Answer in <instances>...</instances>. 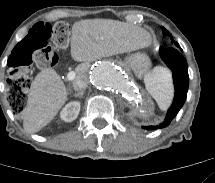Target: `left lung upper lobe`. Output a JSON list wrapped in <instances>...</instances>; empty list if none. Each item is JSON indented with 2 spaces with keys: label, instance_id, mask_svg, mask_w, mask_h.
Masks as SVG:
<instances>
[{
  "label": "left lung upper lobe",
  "instance_id": "5c2ea615",
  "mask_svg": "<svg viewBox=\"0 0 215 183\" xmlns=\"http://www.w3.org/2000/svg\"><path fill=\"white\" fill-rule=\"evenodd\" d=\"M162 32L164 35H167V36H171V34L164 28L162 27ZM172 42L177 46V47H180L179 44L175 41L172 40Z\"/></svg>",
  "mask_w": 215,
  "mask_h": 183
}]
</instances>
